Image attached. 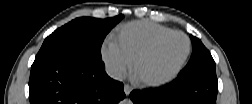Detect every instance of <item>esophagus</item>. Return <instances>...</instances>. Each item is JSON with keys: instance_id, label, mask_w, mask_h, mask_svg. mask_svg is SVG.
Here are the masks:
<instances>
[{"instance_id": "esophagus-1", "label": "esophagus", "mask_w": 252, "mask_h": 104, "mask_svg": "<svg viewBox=\"0 0 252 104\" xmlns=\"http://www.w3.org/2000/svg\"><path fill=\"white\" fill-rule=\"evenodd\" d=\"M124 90H125V92L127 93V94H129L130 92H131V90H132V87L130 86V85H125V87H124Z\"/></svg>"}]
</instances>
